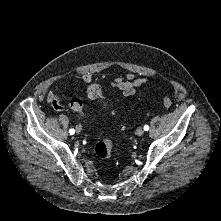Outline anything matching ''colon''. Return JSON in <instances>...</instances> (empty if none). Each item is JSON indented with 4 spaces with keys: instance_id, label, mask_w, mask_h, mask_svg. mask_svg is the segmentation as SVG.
Instances as JSON below:
<instances>
[{
    "instance_id": "1",
    "label": "colon",
    "mask_w": 221,
    "mask_h": 221,
    "mask_svg": "<svg viewBox=\"0 0 221 221\" xmlns=\"http://www.w3.org/2000/svg\"><path fill=\"white\" fill-rule=\"evenodd\" d=\"M86 93L88 97L92 99H99L103 97L102 90L99 85L93 84L90 85ZM161 102L164 107L169 108L172 105V100L168 96H163ZM70 108L75 111L76 113L83 115V103L80 99L74 98L70 101ZM113 144L112 141L109 139H103L98 141L94 146V152L96 156L102 161L106 162L110 159L112 154Z\"/></svg>"
}]
</instances>
